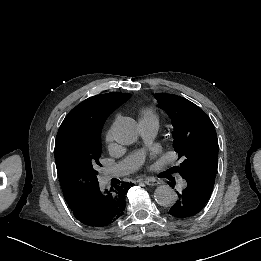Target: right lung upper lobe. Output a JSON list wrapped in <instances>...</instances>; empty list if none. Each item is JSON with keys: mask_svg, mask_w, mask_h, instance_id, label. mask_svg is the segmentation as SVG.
<instances>
[{"mask_svg": "<svg viewBox=\"0 0 261 261\" xmlns=\"http://www.w3.org/2000/svg\"><path fill=\"white\" fill-rule=\"evenodd\" d=\"M130 97L131 94L116 92L90 97L69 112L59 129L69 124L81 123L91 129L101 131L111 112Z\"/></svg>", "mask_w": 261, "mask_h": 261, "instance_id": "cb5924a9", "label": "right lung upper lobe"}]
</instances>
